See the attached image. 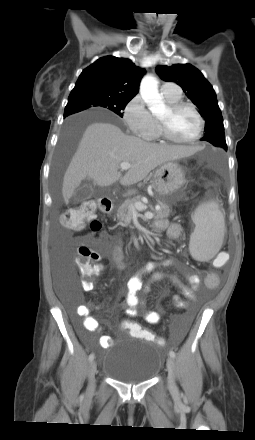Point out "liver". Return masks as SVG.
I'll return each mask as SVG.
<instances>
[{"instance_id": "obj_1", "label": "liver", "mask_w": 255, "mask_h": 440, "mask_svg": "<svg viewBox=\"0 0 255 440\" xmlns=\"http://www.w3.org/2000/svg\"><path fill=\"white\" fill-rule=\"evenodd\" d=\"M199 147L159 145L134 136L125 135L110 123L90 124L79 143L63 178L62 195L69 202L74 190L85 178L99 186H110L120 180L124 186L138 183L156 167L177 159L189 157ZM122 162L131 164L122 177L118 171Z\"/></svg>"}]
</instances>
